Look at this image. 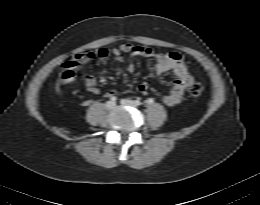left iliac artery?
<instances>
[{
  "label": "left iliac artery",
  "instance_id": "44dca946",
  "mask_svg": "<svg viewBox=\"0 0 260 205\" xmlns=\"http://www.w3.org/2000/svg\"><path fill=\"white\" fill-rule=\"evenodd\" d=\"M134 102H135V105H136V106L141 105V102H140L139 100H135Z\"/></svg>",
  "mask_w": 260,
  "mask_h": 205
}]
</instances>
